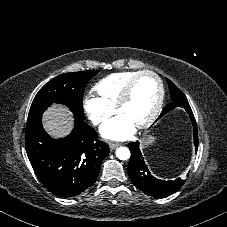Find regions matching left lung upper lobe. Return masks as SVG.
I'll list each match as a JSON object with an SVG mask.
<instances>
[{
    "label": "left lung upper lobe",
    "mask_w": 227,
    "mask_h": 227,
    "mask_svg": "<svg viewBox=\"0 0 227 227\" xmlns=\"http://www.w3.org/2000/svg\"><path fill=\"white\" fill-rule=\"evenodd\" d=\"M168 87L170 91V97H171V103L167 104L165 108L162 110L159 118H161L163 115L168 113L169 111L176 109V108H182L185 109L186 112L191 115L193 114L190 105L188 104V101L183 94V92L169 79H167Z\"/></svg>",
    "instance_id": "1"
}]
</instances>
